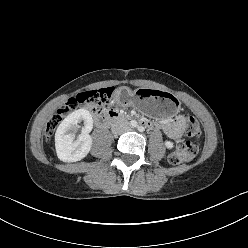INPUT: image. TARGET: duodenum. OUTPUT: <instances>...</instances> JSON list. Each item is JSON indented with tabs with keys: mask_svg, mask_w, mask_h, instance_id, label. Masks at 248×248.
Wrapping results in <instances>:
<instances>
[{
	"mask_svg": "<svg viewBox=\"0 0 248 248\" xmlns=\"http://www.w3.org/2000/svg\"><path fill=\"white\" fill-rule=\"evenodd\" d=\"M97 116V121L99 124L105 126V125H108L110 123H113V122H117V121H123L126 119L125 116L117 113V112H114V111H108V112H105L101 115H96Z\"/></svg>",
	"mask_w": 248,
	"mask_h": 248,
	"instance_id": "duodenum-1",
	"label": "duodenum"
}]
</instances>
